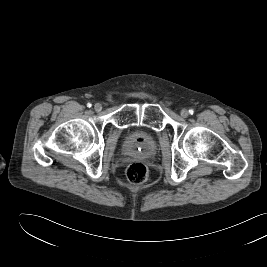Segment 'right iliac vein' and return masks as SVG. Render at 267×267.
I'll list each match as a JSON object with an SVG mask.
<instances>
[{
  "label": "right iliac vein",
  "instance_id": "obj_1",
  "mask_svg": "<svg viewBox=\"0 0 267 267\" xmlns=\"http://www.w3.org/2000/svg\"><path fill=\"white\" fill-rule=\"evenodd\" d=\"M94 109L96 112H100L102 110V105L100 103H96L94 105Z\"/></svg>",
  "mask_w": 267,
  "mask_h": 267
}]
</instances>
